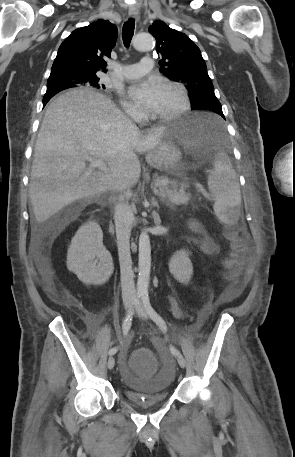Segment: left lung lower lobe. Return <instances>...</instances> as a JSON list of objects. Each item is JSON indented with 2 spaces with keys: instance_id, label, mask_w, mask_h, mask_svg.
Segmentation results:
<instances>
[{
  "instance_id": "0a47b994",
  "label": "left lung lower lobe",
  "mask_w": 295,
  "mask_h": 457,
  "mask_svg": "<svg viewBox=\"0 0 295 457\" xmlns=\"http://www.w3.org/2000/svg\"><path fill=\"white\" fill-rule=\"evenodd\" d=\"M198 109H205V110L213 111L225 119L223 112H222L221 104L204 103ZM206 129L211 135L213 133H215V128L211 123L206 124Z\"/></svg>"
}]
</instances>
